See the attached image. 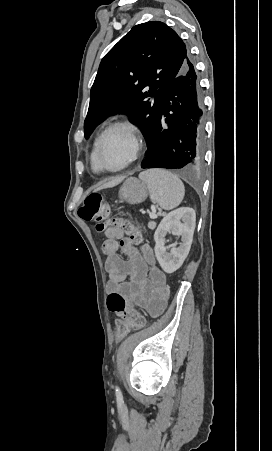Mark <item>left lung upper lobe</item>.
Returning a JSON list of instances; mask_svg holds the SVG:
<instances>
[{"label":"left lung upper lobe","mask_w":272,"mask_h":451,"mask_svg":"<svg viewBox=\"0 0 272 451\" xmlns=\"http://www.w3.org/2000/svg\"><path fill=\"white\" fill-rule=\"evenodd\" d=\"M186 46L166 24L151 21L134 26L102 59L90 93L85 138L117 112L143 126L150 141L161 102L183 68Z\"/></svg>","instance_id":"5c2ea615"}]
</instances>
